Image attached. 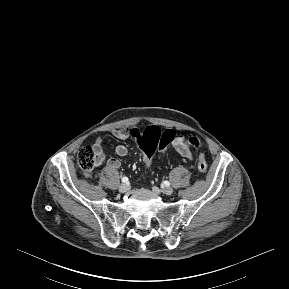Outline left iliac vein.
Returning a JSON list of instances; mask_svg holds the SVG:
<instances>
[{
	"instance_id": "obj_1",
	"label": "left iliac vein",
	"mask_w": 289,
	"mask_h": 289,
	"mask_svg": "<svg viewBox=\"0 0 289 289\" xmlns=\"http://www.w3.org/2000/svg\"><path fill=\"white\" fill-rule=\"evenodd\" d=\"M153 191L157 192L158 191L157 187H153ZM162 192L166 195H171L173 193V189L171 187H165L162 189Z\"/></svg>"
}]
</instances>
